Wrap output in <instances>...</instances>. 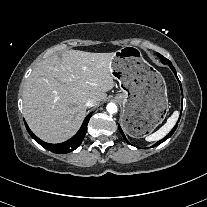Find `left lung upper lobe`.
Listing matches in <instances>:
<instances>
[{"instance_id":"5c2ea615","label":"left lung upper lobe","mask_w":207,"mask_h":207,"mask_svg":"<svg viewBox=\"0 0 207 207\" xmlns=\"http://www.w3.org/2000/svg\"><path fill=\"white\" fill-rule=\"evenodd\" d=\"M157 55L160 57V59H161L162 62H166L167 61V59L165 57H163L162 55H160L158 53H157Z\"/></svg>"}]
</instances>
